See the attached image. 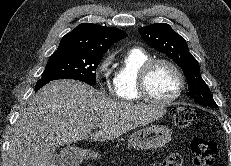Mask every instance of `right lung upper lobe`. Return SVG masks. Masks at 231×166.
Listing matches in <instances>:
<instances>
[{"instance_id": "1", "label": "right lung upper lobe", "mask_w": 231, "mask_h": 166, "mask_svg": "<svg viewBox=\"0 0 231 166\" xmlns=\"http://www.w3.org/2000/svg\"><path fill=\"white\" fill-rule=\"evenodd\" d=\"M126 36L124 31L115 27L82 23L61 39L57 50L103 56L108 48Z\"/></svg>"}]
</instances>
